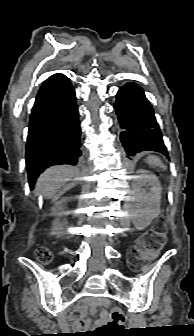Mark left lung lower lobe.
Here are the masks:
<instances>
[{
	"label": "left lung lower lobe",
	"instance_id": "obj_1",
	"mask_svg": "<svg viewBox=\"0 0 194 336\" xmlns=\"http://www.w3.org/2000/svg\"><path fill=\"white\" fill-rule=\"evenodd\" d=\"M115 109L121 128L126 129L121 132L120 140L127 157L144 150L169 157L154 111L141 87L134 83L124 85L117 92Z\"/></svg>",
	"mask_w": 194,
	"mask_h": 336
}]
</instances>
